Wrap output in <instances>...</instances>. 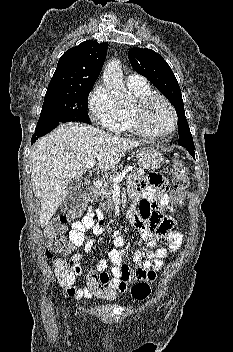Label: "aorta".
<instances>
[{"label": "aorta", "mask_w": 233, "mask_h": 352, "mask_svg": "<svg viewBox=\"0 0 233 352\" xmlns=\"http://www.w3.org/2000/svg\"><path fill=\"white\" fill-rule=\"evenodd\" d=\"M103 82L112 96L122 104L131 101V93L126 89L123 82L122 67L119 60L109 61L103 71Z\"/></svg>", "instance_id": "1"}]
</instances>
